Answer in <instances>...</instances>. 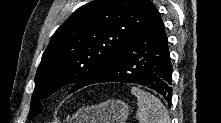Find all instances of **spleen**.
<instances>
[{"mask_svg":"<svg viewBox=\"0 0 221 123\" xmlns=\"http://www.w3.org/2000/svg\"><path fill=\"white\" fill-rule=\"evenodd\" d=\"M131 93L137 98L139 123H170L168 111L158 98L137 87H132Z\"/></svg>","mask_w":221,"mask_h":123,"instance_id":"spleen-1","label":"spleen"}]
</instances>
